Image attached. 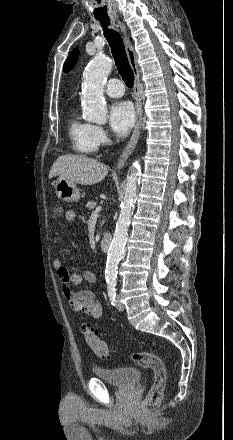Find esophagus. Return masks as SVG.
Returning a JSON list of instances; mask_svg holds the SVG:
<instances>
[{
  "label": "esophagus",
  "instance_id": "1",
  "mask_svg": "<svg viewBox=\"0 0 233 440\" xmlns=\"http://www.w3.org/2000/svg\"><path fill=\"white\" fill-rule=\"evenodd\" d=\"M118 25L120 27V29L122 30V32L125 35V48H126V53H127V57L129 60V64L130 67L134 73L135 76V81H134V89H133V93H134V98H135V108H136V123H135V127L132 133V136L129 140V142L127 143L126 147L124 148L122 155L116 165V170H120L125 162L127 161L128 157L131 155V153L133 152V150L136 147V144L138 142V138L140 135V129H141V124H142V106H141V95H140V75H139V69H138V65H137V57L135 55V52L132 48V45L126 35V28L124 26V24L118 22Z\"/></svg>",
  "mask_w": 233,
  "mask_h": 440
}]
</instances>
